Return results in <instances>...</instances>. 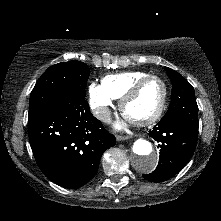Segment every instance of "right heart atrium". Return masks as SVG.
Listing matches in <instances>:
<instances>
[{
    "label": "right heart atrium",
    "instance_id": "right-heart-atrium-1",
    "mask_svg": "<svg viewBox=\"0 0 221 221\" xmlns=\"http://www.w3.org/2000/svg\"><path fill=\"white\" fill-rule=\"evenodd\" d=\"M89 104L94 115L102 122L110 119L114 105L113 97L105 90L102 84L91 83L88 89Z\"/></svg>",
    "mask_w": 221,
    "mask_h": 221
}]
</instances>
